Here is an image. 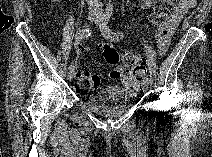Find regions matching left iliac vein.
Returning <instances> with one entry per match:
<instances>
[{
	"instance_id": "left-iliac-vein-1",
	"label": "left iliac vein",
	"mask_w": 212,
	"mask_h": 157,
	"mask_svg": "<svg viewBox=\"0 0 212 157\" xmlns=\"http://www.w3.org/2000/svg\"><path fill=\"white\" fill-rule=\"evenodd\" d=\"M103 23V18H99L97 21H96V24H98L99 26H101ZM141 87L144 91H147L148 90V84L147 83H144L142 82L141 83Z\"/></svg>"
}]
</instances>
